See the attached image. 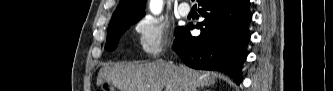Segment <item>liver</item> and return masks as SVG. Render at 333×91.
<instances>
[{"label":"liver","mask_w":333,"mask_h":91,"mask_svg":"<svg viewBox=\"0 0 333 91\" xmlns=\"http://www.w3.org/2000/svg\"><path fill=\"white\" fill-rule=\"evenodd\" d=\"M218 74L191 69L183 64L157 62L117 63L99 70L97 86L106 80L120 91H196L215 83Z\"/></svg>","instance_id":"1"}]
</instances>
